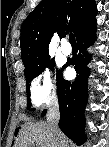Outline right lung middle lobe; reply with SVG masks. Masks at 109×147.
<instances>
[{"label": "right lung middle lobe", "instance_id": "1", "mask_svg": "<svg viewBox=\"0 0 109 147\" xmlns=\"http://www.w3.org/2000/svg\"><path fill=\"white\" fill-rule=\"evenodd\" d=\"M53 66H54V61L50 60L49 55H46L36 65L25 68L24 75H25L26 83H27L26 88H27V96H28V103H27L28 109L31 108V101L29 97V83L32 81L33 78L40 75L46 67L53 68Z\"/></svg>", "mask_w": 109, "mask_h": 147}]
</instances>
